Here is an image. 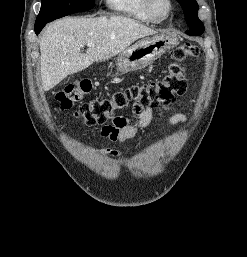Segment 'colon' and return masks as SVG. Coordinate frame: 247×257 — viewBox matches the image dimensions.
I'll list each match as a JSON object with an SVG mask.
<instances>
[{
    "instance_id": "colon-1",
    "label": "colon",
    "mask_w": 247,
    "mask_h": 257,
    "mask_svg": "<svg viewBox=\"0 0 247 257\" xmlns=\"http://www.w3.org/2000/svg\"><path fill=\"white\" fill-rule=\"evenodd\" d=\"M199 55V48L189 42L179 45L172 53V60L166 67L162 79L144 84H136L125 90L111 95L93 99L81 104L76 110V116L86 126L104 125L108 121L124 124L121 112L128 109L130 104L144 108L156 107L171 101L174 96L182 95L187 89L184 61H191ZM92 84L88 80H80L69 85L56 94L59 108L63 111L81 103L91 92Z\"/></svg>"
}]
</instances>
